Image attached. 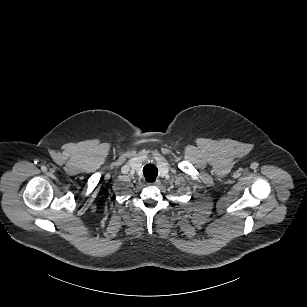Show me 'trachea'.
Segmentation results:
<instances>
[{"instance_id": "1", "label": "trachea", "mask_w": 307, "mask_h": 307, "mask_svg": "<svg viewBox=\"0 0 307 307\" xmlns=\"http://www.w3.org/2000/svg\"><path fill=\"white\" fill-rule=\"evenodd\" d=\"M143 174L147 182H154L158 174V169L153 164H147L143 168Z\"/></svg>"}]
</instances>
